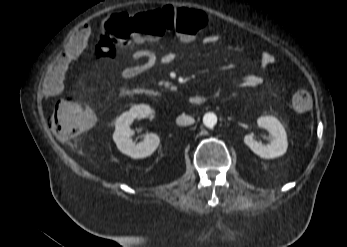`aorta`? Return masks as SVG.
<instances>
[{
	"mask_svg": "<svg viewBox=\"0 0 347 247\" xmlns=\"http://www.w3.org/2000/svg\"><path fill=\"white\" fill-rule=\"evenodd\" d=\"M203 123L206 127L213 128L217 123V116L212 112H208L203 117Z\"/></svg>",
	"mask_w": 347,
	"mask_h": 247,
	"instance_id": "obj_1",
	"label": "aorta"
}]
</instances>
